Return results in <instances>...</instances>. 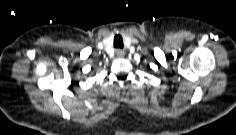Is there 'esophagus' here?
<instances>
[{
  "label": "esophagus",
  "mask_w": 236,
  "mask_h": 135,
  "mask_svg": "<svg viewBox=\"0 0 236 135\" xmlns=\"http://www.w3.org/2000/svg\"><path fill=\"white\" fill-rule=\"evenodd\" d=\"M116 55H117V57L122 58V57H124L125 52L121 49H118V50H116Z\"/></svg>",
  "instance_id": "esophagus-1"
}]
</instances>
